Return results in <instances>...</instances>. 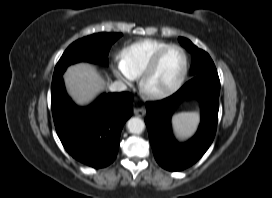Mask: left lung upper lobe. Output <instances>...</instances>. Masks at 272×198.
I'll list each match as a JSON object with an SVG mask.
<instances>
[{"mask_svg":"<svg viewBox=\"0 0 272 198\" xmlns=\"http://www.w3.org/2000/svg\"><path fill=\"white\" fill-rule=\"evenodd\" d=\"M178 40L184 48L191 52V75L195 76L216 71V67L208 53L196 47L186 38L179 37Z\"/></svg>","mask_w":272,"mask_h":198,"instance_id":"left-lung-upper-lobe-1","label":"left lung upper lobe"}]
</instances>
